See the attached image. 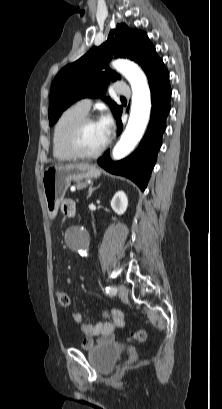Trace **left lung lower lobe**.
Returning <instances> with one entry per match:
<instances>
[{"instance_id": "obj_1", "label": "left lung lower lobe", "mask_w": 222, "mask_h": 409, "mask_svg": "<svg viewBox=\"0 0 222 409\" xmlns=\"http://www.w3.org/2000/svg\"><path fill=\"white\" fill-rule=\"evenodd\" d=\"M152 97L151 119L147 131L138 148L127 158L112 162L109 152L98 159V164L106 171L128 177L144 191L157 153L162 144V134L166 128V117L170 111L171 89L169 74L165 69L149 81ZM123 111V109H122ZM116 117L118 134L122 131L121 113Z\"/></svg>"}]
</instances>
